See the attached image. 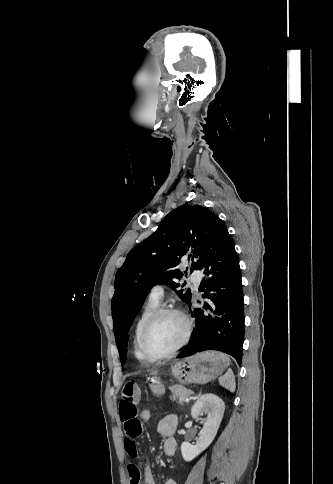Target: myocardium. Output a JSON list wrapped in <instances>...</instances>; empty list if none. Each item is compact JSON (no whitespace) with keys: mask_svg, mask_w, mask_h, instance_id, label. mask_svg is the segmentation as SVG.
<instances>
[{"mask_svg":"<svg viewBox=\"0 0 333 484\" xmlns=\"http://www.w3.org/2000/svg\"><path fill=\"white\" fill-rule=\"evenodd\" d=\"M167 314L177 315L183 320V322L185 324V333H184V336H183L182 340L180 341V343L175 348H173L170 352H168L164 355H161V356H154V355L150 354L148 349H147L148 335H149L151 328L155 324V322L159 318H161L162 316L167 315ZM192 331H193L192 321L184 311H182L181 309L176 308V307L158 308L149 317V319L147 320V322L145 323V325L143 327L141 339H140L141 352H142L143 356L150 362H160V361L172 358L189 342L191 335H192Z\"/></svg>","mask_w":333,"mask_h":484,"instance_id":"f54148a6","label":"myocardium"}]
</instances>
